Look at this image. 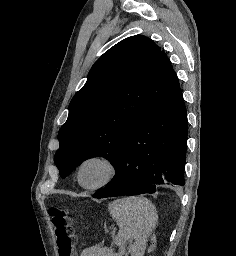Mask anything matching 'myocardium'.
I'll list each match as a JSON object with an SVG mask.
<instances>
[{"mask_svg": "<svg viewBox=\"0 0 236 256\" xmlns=\"http://www.w3.org/2000/svg\"><path fill=\"white\" fill-rule=\"evenodd\" d=\"M92 161H99V162H102L103 164H105L108 169V172H107V175L100 182H98L96 184H92V185H87L82 182L81 171L85 164L92 162ZM117 173H118V165L115 162V160L111 156H109L107 154H103V153H95V154H91V155L84 157L79 162L77 169H76V177H77V181H78L79 185L88 190H96V189H99V188H102V187L108 185L115 179V177L117 176Z\"/></svg>", "mask_w": 236, "mask_h": 256, "instance_id": "f54148a6", "label": "myocardium"}]
</instances>
